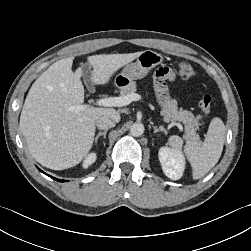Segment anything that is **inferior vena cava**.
<instances>
[{"mask_svg": "<svg viewBox=\"0 0 251 251\" xmlns=\"http://www.w3.org/2000/svg\"><path fill=\"white\" fill-rule=\"evenodd\" d=\"M115 119L109 115H101L96 119V126L98 129L107 130L115 126Z\"/></svg>", "mask_w": 251, "mask_h": 251, "instance_id": "inferior-vena-cava-1", "label": "inferior vena cava"}]
</instances>
